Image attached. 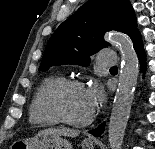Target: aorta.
<instances>
[{
  "mask_svg": "<svg viewBox=\"0 0 155 149\" xmlns=\"http://www.w3.org/2000/svg\"><path fill=\"white\" fill-rule=\"evenodd\" d=\"M105 39L119 48L122 57L119 83L108 127L110 149H121L137 83L139 61L133 43L127 35L112 32L106 34Z\"/></svg>",
  "mask_w": 155,
  "mask_h": 149,
  "instance_id": "762f6f07",
  "label": "aorta"
}]
</instances>
